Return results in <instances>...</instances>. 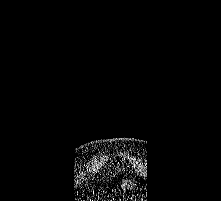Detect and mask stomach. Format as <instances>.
<instances>
[{
  "instance_id": "stomach-1",
  "label": "stomach",
  "mask_w": 221,
  "mask_h": 201,
  "mask_svg": "<svg viewBox=\"0 0 221 201\" xmlns=\"http://www.w3.org/2000/svg\"><path fill=\"white\" fill-rule=\"evenodd\" d=\"M136 183H137L136 181L126 178V179H122L119 182V186L123 191L131 190L132 188L136 186Z\"/></svg>"
}]
</instances>
